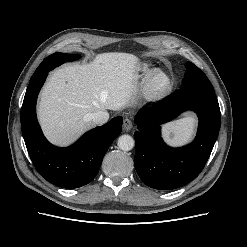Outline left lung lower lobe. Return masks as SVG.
Wrapping results in <instances>:
<instances>
[{"instance_id": "left-lung-lower-lobe-1", "label": "left lung lower lobe", "mask_w": 247, "mask_h": 247, "mask_svg": "<svg viewBox=\"0 0 247 247\" xmlns=\"http://www.w3.org/2000/svg\"><path fill=\"white\" fill-rule=\"evenodd\" d=\"M186 110L199 117L196 138L189 145L171 148L161 138L160 125ZM135 122V168L140 179L151 188L172 190L203 170L218 137L221 113L213 86L187 84L162 103L142 108Z\"/></svg>"}]
</instances>
